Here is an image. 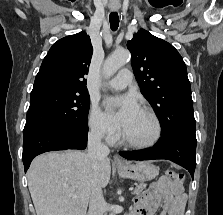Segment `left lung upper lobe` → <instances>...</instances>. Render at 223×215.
I'll return each mask as SVG.
<instances>
[{"mask_svg": "<svg viewBox=\"0 0 223 215\" xmlns=\"http://www.w3.org/2000/svg\"><path fill=\"white\" fill-rule=\"evenodd\" d=\"M127 48L141 93L160 121L161 135L195 132L190 82L186 64L178 51L144 29L134 34Z\"/></svg>", "mask_w": 223, "mask_h": 215, "instance_id": "obj_1", "label": "left lung upper lobe"}]
</instances>
